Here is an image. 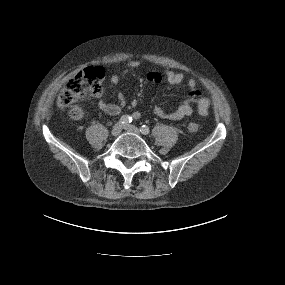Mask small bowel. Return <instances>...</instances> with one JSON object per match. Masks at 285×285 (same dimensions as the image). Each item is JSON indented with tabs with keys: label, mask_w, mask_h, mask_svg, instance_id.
Wrapping results in <instances>:
<instances>
[{
	"label": "small bowel",
	"mask_w": 285,
	"mask_h": 285,
	"mask_svg": "<svg viewBox=\"0 0 285 285\" xmlns=\"http://www.w3.org/2000/svg\"><path fill=\"white\" fill-rule=\"evenodd\" d=\"M140 65V61H130L126 66V70L136 69L140 67ZM110 80L113 85H118L120 79L117 74H113ZM147 80L151 83H160L163 80H166L170 84H180L185 81V75L181 72H175L172 70H166L163 74L158 72H150L147 75ZM186 84L189 90V95L177 109L167 111L156 107L153 111L154 115L164 120L179 121L192 114V105L197 106L200 115H207L209 110V100L208 98L202 96L198 89L196 80L194 78H189L187 79ZM118 99L120 102L119 104H112L104 99H100L98 102L99 109L108 115H118L126 103L125 96L122 92L118 93ZM140 116L141 115L139 112H135L133 114L134 119H139Z\"/></svg>",
	"instance_id": "c3829d8e"
}]
</instances>
